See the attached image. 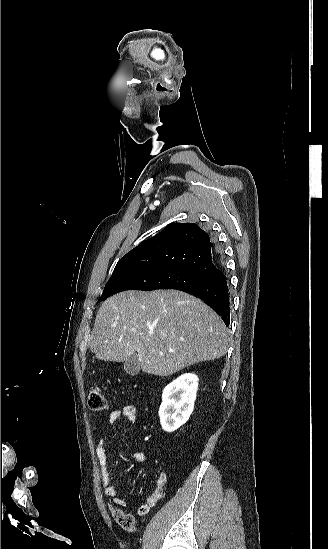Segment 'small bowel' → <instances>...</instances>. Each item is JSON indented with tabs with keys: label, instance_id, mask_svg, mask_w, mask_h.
Segmentation results:
<instances>
[{
	"label": "small bowel",
	"instance_id": "obj_1",
	"mask_svg": "<svg viewBox=\"0 0 328 549\" xmlns=\"http://www.w3.org/2000/svg\"><path fill=\"white\" fill-rule=\"evenodd\" d=\"M126 420L130 423H135L137 420V408L134 405H125L124 407L114 410L109 414L108 423L110 425ZM96 456L100 467V475L102 485L105 489L106 495L111 499L112 503L116 506H125L126 502L119 496L116 487L111 482L110 465L108 461L107 452L105 449V440H101L96 448ZM146 453L143 450L134 452L132 459L138 462L144 461ZM167 481V475L161 472L156 481L155 489L151 495L146 499V502L140 506L138 512L141 515L147 514L149 509L155 506L164 496L163 488Z\"/></svg>",
	"mask_w": 328,
	"mask_h": 549
}]
</instances>
